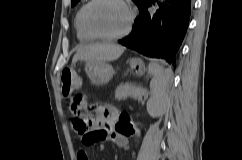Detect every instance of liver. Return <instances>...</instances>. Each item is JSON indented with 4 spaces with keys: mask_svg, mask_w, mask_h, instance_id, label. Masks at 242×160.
<instances>
[{
    "mask_svg": "<svg viewBox=\"0 0 242 160\" xmlns=\"http://www.w3.org/2000/svg\"><path fill=\"white\" fill-rule=\"evenodd\" d=\"M125 51V47L114 43H98L86 45L78 49L72 59V64L77 61H114L117 60Z\"/></svg>",
    "mask_w": 242,
    "mask_h": 160,
    "instance_id": "6515ba94",
    "label": "liver"
}]
</instances>
